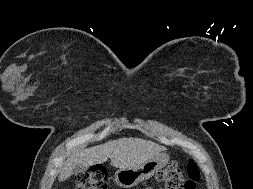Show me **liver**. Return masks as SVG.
<instances>
[{
	"instance_id": "liver-1",
	"label": "liver",
	"mask_w": 253,
	"mask_h": 189,
	"mask_svg": "<svg viewBox=\"0 0 253 189\" xmlns=\"http://www.w3.org/2000/svg\"><path fill=\"white\" fill-rule=\"evenodd\" d=\"M165 148L141 138H120L91 148L73 152L64 162L59 181L73 174L76 165L89 167L104 163L110 158L111 165L119 169L136 168L164 151Z\"/></svg>"
}]
</instances>
